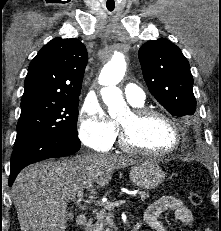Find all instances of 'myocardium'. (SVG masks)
I'll list each match as a JSON object with an SVG mask.
<instances>
[{"label":"myocardium","instance_id":"myocardium-1","mask_svg":"<svg viewBox=\"0 0 221 231\" xmlns=\"http://www.w3.org/2000/svg\"><path fill=\"white\" fill-rule=\"evenodd\" d=\"M130 116L133 122L132 127L119 123V144L125 151L163 158L173 154L180 148L182 143V132L177 121L170 114L155 108L136 107L130 111ZM152 117H160L173 127L176 141L171 149L162 152L151 151L138 145L134 140L133 134L135 127Z\"/></svg>","mask_w":221,"mask_h":231}]
</instances>
